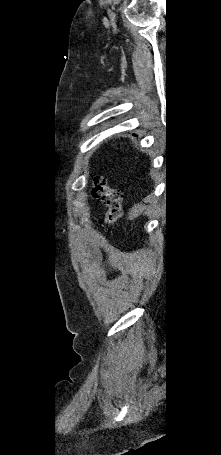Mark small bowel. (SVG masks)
<instances>
[{
	"label": "small bowel",
	"instance_id": "obj_1",
	"mask_svg": "<svg viewBox=\"0 0 221 455\" xmlns=\"http://www.w3.org/2000/svg\"><path fill=\"white\" fill-rule=\"evenodd\" d=\"M93 261L94 263L98 262V257L95 256Z\"/></svg>",
	"mask_w": 221,
	"mask_h": 455
}]
</instances>
